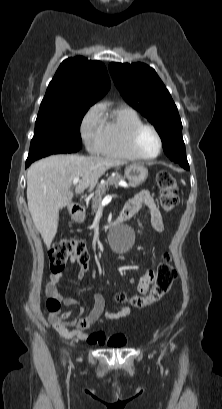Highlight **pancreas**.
I'll list each match as a JSON object with an SVG mask.
<instances>
[{
  "label": "pancreas",
  "instance_id": "pancreas-1",
  "mask_svg": "<svg viewBox=\"0 0 222 409\" xmlns=\"http://www.w3.org/2000/svg\"><path fill=\"white\" fill-rule=\"evenodd\" d=\"M122 180L123 178L119 174H116L114 177H109L104 183L98 185L95 190V196L92 199V212H96V210L101 206V201L106 194L108 186L115 185L117 187L118 182Z\"/></svg>",
  "mask_w": 222,
  "mask_h": 409
}]
</instances>
